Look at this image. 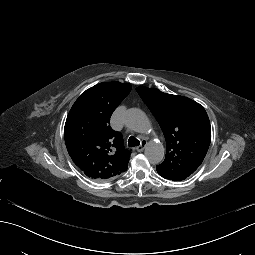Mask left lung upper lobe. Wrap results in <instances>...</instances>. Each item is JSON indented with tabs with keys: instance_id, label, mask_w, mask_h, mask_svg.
<instances>
[{
	"instance_id": "5c2ea615",
	"label": "left lung upper lobe",
	"mask_w": 255,
	"mask_h": 255,
	"mask_svg": "<svg viewBox=\"0 0 255 255\" xmlns=\"http://www.w3.org/2000/svg\"><path fill=\"white\" fill-rule=\"evenodd\" d=\"M138 94L157 119L164 133L167 152L156 166L166 179L182 181L202 163L211 141L208 115L199 103L158 89L138 87Z\"/></svg>"
}]
</instances>
